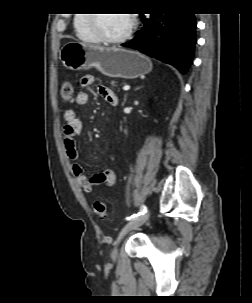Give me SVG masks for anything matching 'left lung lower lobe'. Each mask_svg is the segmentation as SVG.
I'll use <instances>...</instances> for the list:
<instances>
[{"instance_id":"left-lung-lower-lobe-1","label":"left lung lower lobe","mask_w":252,"mask_h":303,"mask_svg":"<svg viewBox=\"0 0 252 303\" xmlns=\"http://www.w3.org/2000/svg\"><path fill=\"white\" fill-rule=\"evenodd\" d=\"M143 26L137 35L122 46L137 49L186 73L195 47L196 21L194 14H140Z\"/></svg>"}]
</instances>
